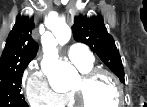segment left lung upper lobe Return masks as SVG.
Segmentation results:
<instances>
[{
  "mask_svg": "<svg viewBox=\"0 0 147 107\" xmlns=\"http://www.w3.org/2000/svg\"><path fill=\"white\" fill-rule=\"evenodd\" d=\"M72 31L76 41L87 44L120 81L125 83L120 54L113 37L107 32L102 17L75 18Z\"/></svg>",
  "mask_w": 147,
  "mask_h": 107,
  "instance_id": "left-lung-upper-lobe-1",
  "label": "left lung upper lobe"
}]
</instances>
